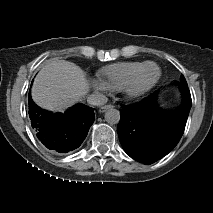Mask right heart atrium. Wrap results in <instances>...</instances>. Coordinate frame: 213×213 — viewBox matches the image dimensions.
I'll return each instance as SVG.
<instances>
[{"label": "right heart atrium", "mask_w": 213, "mask_h": 213, "mask_svg": "<svg viewBox=\"0 0 213 213\" xmlns=\"http://www.w3.org/2000/svg\"><path fill=\"white\" fill-rule=\"evenodd\" d=\"M93 87L96 91L100 92L109 90L108 84L103 79H95L93 81Z\"/></svg>", "instance_id": "right-heart-atrium-1"}]
</instances>
